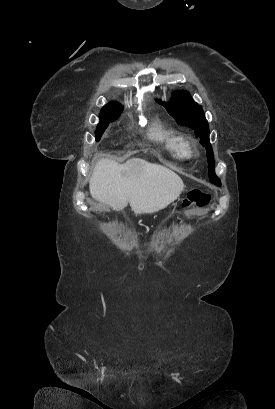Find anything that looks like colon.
I'll return each instance as SVG.
<instances>
[{
  "label": "colon",
  "mask_w": 275,
  "mask_h": 409,
  "mask_svg": "<svg viewBox=\"0 0 275 409\" xmlns=\"http://www.w3.org/2000/svg\"><path fill=\"white\" fill-rule=\"evenodd\" d=\"M210 200V197L201 190L191 191L187 198L183 202L184 209L188 208L190 205L195 204L197 206H204Z\"/></svg>",
  "instance_id": "5ec220e1"
}]
</instances>
